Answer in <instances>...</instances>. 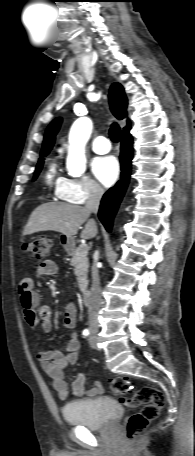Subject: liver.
Segmentation results:
<instances>
[{
  "instance_id": "obj_1",
  "label": "liver",
  "mask_w": 195,
  "mask_h": 456,
  "mask_svg": "<svg viewBox=\"0 0 195 456\" xmlns=\"http://www.w3.org/2000/svg\"><path fill=\"white\" fill-rule=\"evenodd\" d=\"M89 216L90 212L79 205L45 203L31 213L23 234L31 235L41 231H56L67 237H72L86 222L80 236L83 239H92L97 235L98 229L94 219H89Z\"/></svg>"
}]
</instances>
